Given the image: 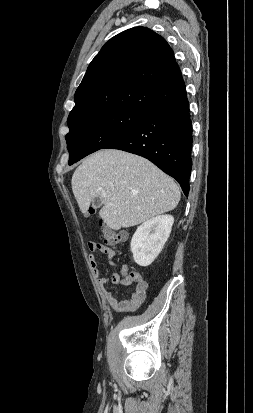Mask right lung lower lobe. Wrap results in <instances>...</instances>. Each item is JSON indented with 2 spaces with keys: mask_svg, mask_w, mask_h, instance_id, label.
Wrapping results in <instances>:
<instances>
[{
  "mask_svg": "<svg viewBox=\"0 0 253 413\" xmlns=\"http://www.w3.org/2000/svg\"><path fill=\"white\" fill-rule=\"evenodd\" d=\"M192 122L186 92L146 112L142 121L105 148L140 155L175 178L189 193L192 169Z\"/></svg>",
  "mask_w": 253,
  "mask_h": 413,
  "instance_id": "obj_1",
  "label": "right lung lower lobe"
}]
</instances>
